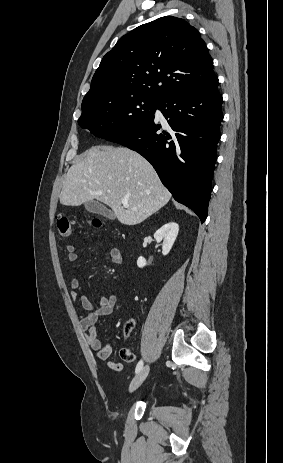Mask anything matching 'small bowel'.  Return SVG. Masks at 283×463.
I'll list each match as a JSON object with an SVG mask.
<instances>
[{
  "label": "small bowel",
  "mask_w": 283,
  "mask_h": 463,
  "mask_svg": "<svg viewBox=\"0 0 283 463\" xmlns=\"http://www.w3.org/2000/svg\"><path fill=\"white\" fill-rule=\"evenodd\" d=\"M67 258L70 263H75L78 260V253L75 247L71 244L66 246ZM110 259L114 264L122 262V256L118 248L112 247L109 250ZM71 298L73 301H79L81 307L87 311V314L81 318V327L85 333L86 342L94 350L96 357L99 360L107 361L108 367L116 372L123 369L120 362L110 359L112 347L110 344H104L96 337V325L100 318L111 314L117 304L115 295L104 296L100 300L98 307H95L92 302L81 293L80 282L78 279L70 281Z\"/></svg>",
  "instance_id": "1"
}]
</instances>
